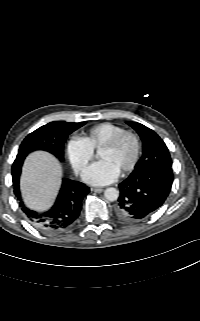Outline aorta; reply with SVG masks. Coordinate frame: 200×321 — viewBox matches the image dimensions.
I'll list each match as a JSON object with an SVG mask.
<instances>
[{"instance_id":"aorta-1","label":"aorta","mask_w":200,"mask_h":321,"mask_svg":"<svg viewBox=\"0 0 200 321\" xmlns=\"http://www.w3.org/2000/svg\"><path fill=\"white\" fill-rule=\"evenodd\" d=\"M104 196L108 201H116L119 197V191L116 188H107L104 192Z\"/></svg>"}]
</instances>
